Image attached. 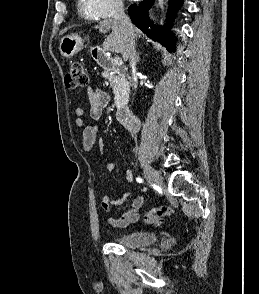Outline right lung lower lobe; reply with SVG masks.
<instances>
[{"label":"right lung lower lobe","mask_w":259,"mask_h":294,"mask_svg":"<svg viewBox=\"0 0 259 294\" xmlns=\"http://www.w3.org/2000/svg\"><path fill=\"white\" fill-rule=\"evenodd\" d=\"M182 0H170L168 9L169 22L173 19ZM154 0H143L138 4H133L128 8V14L132 22L141 29L149 38L163 44L169 51H175L172 33L167 30L168 25L159 27L149 22L148 9L153 5Z\"/></svg>","instance_id":"obj_1"}]
</instances>
